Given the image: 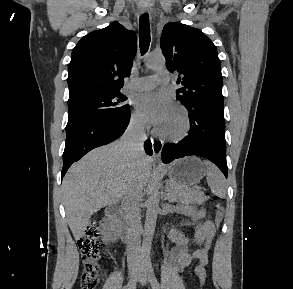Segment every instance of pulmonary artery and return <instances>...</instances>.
<instances>
[{"instance_id":"pulmonary-artery-1","label":"pulmonary artery","mask_w":293,"mask_h":289,"mask_svg":"<svg viewBox=\"0 0 293 289\" xmlns=\"http://www.w3.org/2000/svg\"><path fill=\"white\" fill-rule=\"evenodd\" d=\"M169 81L170 73L167 70H158L154 75L133 80L131 88L136 91H145L154 88L158 84H166Z\"/></svg>"}]
</instances>
